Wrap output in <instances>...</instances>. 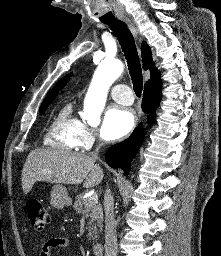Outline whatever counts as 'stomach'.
<instances>
[{"instance_id": "obj_1", "label": "stomach", "mask_w": 221, "mask_h": 256, "mask_svg": "<svg viewBox=\"0 0 221 256\" xmlns=\"http://www.w3.org/2000/svg\"><path fill=\"white\" fill-rule=\"evenodd\" d=\"M51 205L57 209H63L65 206L71 205V198L64 186L60 184L53 186L51 191Z\"/></svg>"}]
</instances>
